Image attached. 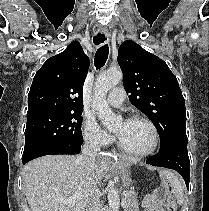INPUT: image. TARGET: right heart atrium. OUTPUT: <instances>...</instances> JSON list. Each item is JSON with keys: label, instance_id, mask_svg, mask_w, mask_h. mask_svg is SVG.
I'll return each mask as SVG.
<instances>
[{"label": "right heart atrium", "instance_id": "obj_1", "mask_svg": "<svg viewBox=\"0 0 209 211\" xmlns=\"http://www.w3.org/2000/svg\"><path fill=\"white\" fill-rule=\"evenodd\" d=\"M82 131L84 140L92 146H106L112 141V136L104 131L91 117H86L83 121Z\"/></svg>", "mask_w": 209, "mask_h": 211}]
</instances>
